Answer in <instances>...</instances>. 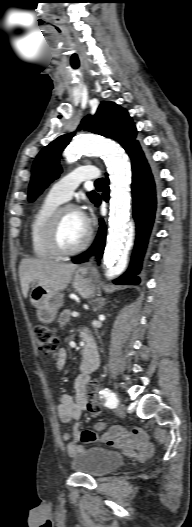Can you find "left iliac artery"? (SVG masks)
Wrapping results in <instances>:
<instances>
[{
  "mask_svg": "<svg viewBox=\"0 0 192 527\" xmlns=\"http://www.w3.org/2000/svg\"><path fill=\"white\" fill-rule=\"evenodd\" d=\"M102 397L105 399V406L108 408H116L118 405L117 395L109 388L103 389L101 392Z\"/></svg>",
  "mask_w": 192,
  "mask_h": 527,
  "instance_id": "obj_1",
  "label": "left iliac artery"
}]
</instances>
